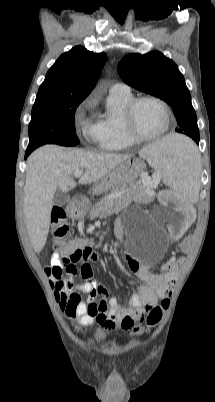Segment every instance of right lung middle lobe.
Masks as SVG:
<instances>
[{
	"instance_id": "right-lung-middle-lobe-1",
	"label": "right lung middle lobe",
	"mask_w": 215,
	"mask_h": 402,
	"mask_svg": "<svg viewBox=\"0 0 215 402\" xmlns=\"http://www.w3.org/2000/svg\"><path fill=\"white\" fill-rule=\"evenodd\" d=\"M85 98L37 95L29 124L27 150L53 143L75 146L79 139L75 133V111Z\"/></svg>"
}]
</instances>
